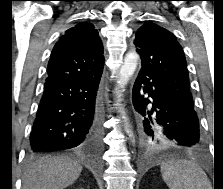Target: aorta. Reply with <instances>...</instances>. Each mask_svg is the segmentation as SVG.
Returning a JSON list of instances; mask_svg holds the SVG:
<instances>
[{"label":"aorta","instance_id":"aorta-1","mask_svg":"<svg viewBox=\"0 0 223 189\" xmlns=\"http://www.w3.org/2000/svg\"><path fill=\"white\" fill-rule=\"evenodd\" d=\"M138 60H139V55L135 51L128 52L126 54L124 61L118 72L117 85L119 88H123L125 85H127L128 81L133 76L137 68ZM122 118L125 122L126 132L129 134V136H131L132 131L130 129V124L123 111H122Z\"/></svg>","mask_w":223,"mask_h":189}]
</instances>
